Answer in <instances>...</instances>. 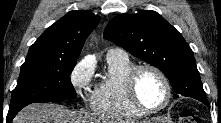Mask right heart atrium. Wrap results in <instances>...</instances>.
<instances>
[{
    "label": "right heart atrium",
    "instance_id": "1",
    "mask_svg": "<svg viewBox=\"0 0 221 123\" xmlns=\"http://www.w3.org/2000/svg\"><path fill=\"white\" fill-rule=\"evenodd\" d=\"M92 78L90 67L84 62H78L70 73V82L80 95L87 89Z\"/></svg>",
    "mask_w": 221,
    "mask_h": 123
}]
</instances>
